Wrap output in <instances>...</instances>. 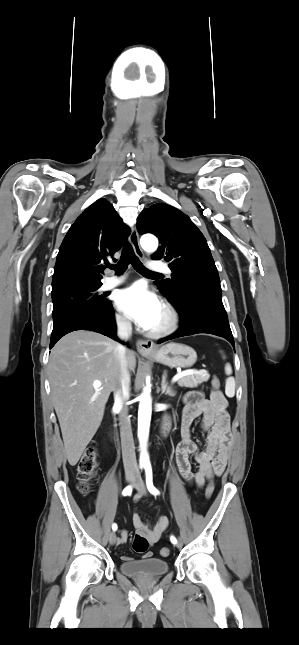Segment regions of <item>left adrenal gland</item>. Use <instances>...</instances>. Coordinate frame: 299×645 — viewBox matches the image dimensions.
I'll use <instances>...</instances> for the list:
<instances>
[{"label": "left adrenal gland", "mask_w": 299, "mask_h": 645, "mask_svg": "<svg viewBox=\"0 0 299 645\" xmlns=\"http://www.w3.org/2000/svg\"><path fill=\"white\" fill-rule=\"evenodd\" d=\"M166 378H167V372L164 371L162 375V383H161L162 394L168 395L170 397H174L176 395V392L172 389V387L167 385Z\"/></svg>", "instance_id": "a2214340"}]
</instances>
